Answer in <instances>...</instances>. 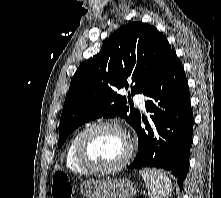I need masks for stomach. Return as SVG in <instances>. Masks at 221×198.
Listing matches in <instances>:
<instances>
[{"label": "stomach", "instance_id": "1", "mask_svg": "<svg viewBox=\"0 0 221 198\" xmlns=\"http://www.w3.org/2000/svg\"><path fill=\"white\" fill-rule=\"evenodd\" d=\"M80 190L85 198H132L136 193L134 183L127 178L87 180Z\"/></svg>", "mask_w": 221, "mask_h": 198}]
</instances>
